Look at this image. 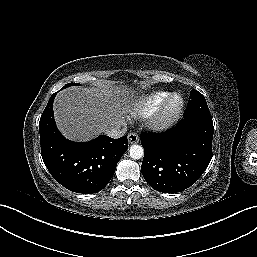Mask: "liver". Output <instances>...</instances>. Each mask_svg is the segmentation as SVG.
<instances>
[{
  "instance_id": "liver-1",
  "label": "liver",
  "mask_w": 257,
  "mask_h": 257,
  "mask_svg": "<svg viewBox=\"0 0 257 257\" xmlns=\"http://www.w3.org/2000/svg\"><path fill=\"white\" fill-rule=\"evenodd\" d=\"M134 91L106 81L98 88L71 87L58 93L54 116L60 132L69 140L87 141L123 123Z\"/></svg>"
}]
</instances>
